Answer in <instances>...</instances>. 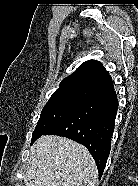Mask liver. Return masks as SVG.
I'll list each match as a JSON object with an SVG mask.
<instances>
[{
	"label": "liver",
	"mask_w": 138,
	"mask_h": 186,
	"mask_svg": "<svg viewBox=\"0 0 138 186\" xmlns=\"http://www.w3.org/2000/svg\"><path fill=\"white\" fill-rule=\"evenodd\" d=\"M89 151L70 139L41 136L31 147L25 186H97Z\"/></svg>",
	"instance_id": "liver-1"
}]
</instances>
